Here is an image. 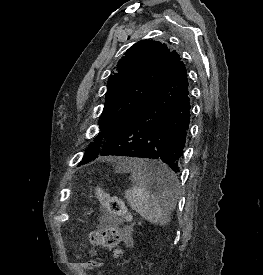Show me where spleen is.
<instances>
[{
    "instance_id": "3e777b00",
    "label": "spleen",
    "mask_w": 263,
    "mask_h": 275,
    "mask_svg": "<svg viewBox=\"0 0 263 275\" xmlns=\"http://www.w3.org/2000/svg\"><path fill=\"white\" fill-rule=\"evenodd\" d=\"M156 169L173 176L171 188L163 191L161 195H154L148 189L146 169ZM119 169L123 173H130L133 185L126 191L125 197L133 210L148 222L155 225H166L169 218V208L176 201L175 193L179 186L178 180L169 168L160 162H150L137 158H126L119 162ZM170 204V205H169Z\"/></svg>"
}]
</instances>
